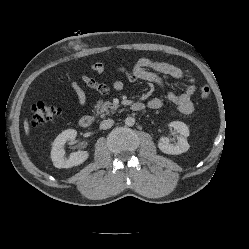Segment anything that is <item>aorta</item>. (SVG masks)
Returning a JSON list of instances; mask_svg holds the SVG:
<instances>
[{"label": "aorta", "mask_w": 249, "mask_h": 249, "mask_svg": "<svg viewBox=\"0 0 249 249\" xmlns=\"http://www.w3.org/2000/svg\"><path fill=\"white\" fill-rule=\"evenodd\" d=\"M125 124H126L127 126H133V125L135 124V119L132 118V117H127V118L125 119Z\"/></svg>", "instance_id": "obj_1"}]
</instances>
